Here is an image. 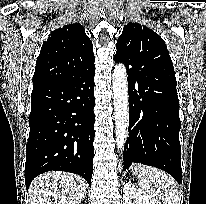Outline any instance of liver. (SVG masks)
<instances>
[{
    "instance_id": "obj_1",
    "label": "liver",
    "mask_w": 206,
    "mask_h": 204,
    "mask_svg": "<svg viewBox=\"0 0 206 204\" xmlns=\"http://www.w3.org/2000/svg\"><path fill=\"white\" fill-rule=\"evenodd\" d=\"M31 204H80L86 195L82 177L52 171L35 178L30 185Z\"/></svg>"
}]
</instances>
